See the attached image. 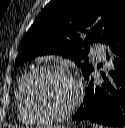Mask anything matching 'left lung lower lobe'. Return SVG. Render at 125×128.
Returning <instances> with one entry per match:
<instances>
[{"label": "left lung lower lobe", "instance_id": "obj_1", "mask_svg": "<svg viewBox=\"0 0 125 128\" xmlns=\"http://www.w3.org/2000/svg\"><path fill=\"white\" fill-rule=\"evenodd\" d=\"M106 59H112L113 68L108 78L102 73L104 81L98 83L90 79L83 103L73 115L72 120H89L108 127L125 126V26L109 41ZM101 65H98L100 67ZM93 72L83 76L89 80Z\"/></svg>", "mask_w": 125, "mask_h": 128}]
</instances>
